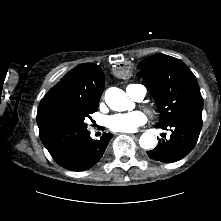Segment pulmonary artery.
<instances>
[{
  "instance_id": "pulmonary-artery-1",
  "label": "pulmonary artery",
  "mask_w": 221,
  "mask_h": 221,
  "mask_svg": "<svg viewBox=\"0 0 221 221\" xmlns=\"http://www.w3.org/2000/svg\"><path fill=\"white\" fill-rule=\"evenodd\" d=\"M126 92L132 99L141 101L146 94V89L140 84H130L127 86Z\"/></svg>"
}]
</instances>
